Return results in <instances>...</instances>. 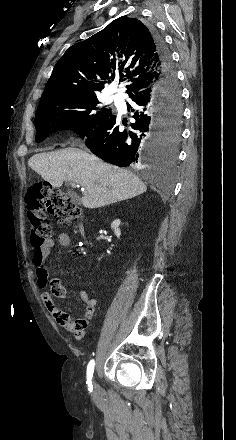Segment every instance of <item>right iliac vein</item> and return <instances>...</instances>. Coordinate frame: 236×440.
<instances>
[{"mask_svg":"<svg viewBox=\"0 0 236 440\" xmlns=\"http://www.w3.org/2000/svg\"><path fill=\"white\" fill-rule=\"evenodd\" d=\"M94 387H95V389H97L98 388V386H97V384L94 382Z\"/></svg>","mask_w":236,"mask_h":440,"instance_id":"obj_1","label":"right iliac vein"}]
</instances>
